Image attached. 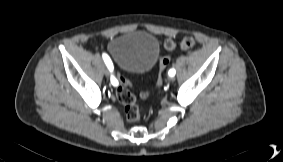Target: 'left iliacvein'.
<instances>
[{"mask_svg":"<svg viewBox=\"0 0 283 162\" xmlns=\"http://www.w3.org/2000/svg\"><path fill=\"white\" fill-rule=\"evenodd\" d=\"M169 80H170V81H174V77H170Z\"/></svg>","mask_w":283,"mask_h":162,"instance_id":"obj_1","label":"left iliac vein"}]
</instances>
